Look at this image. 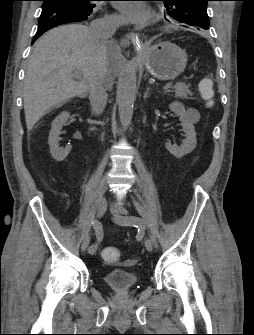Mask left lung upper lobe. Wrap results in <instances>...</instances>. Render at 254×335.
Masks as SVG:
<instances>
[{"label": "left lung upper lobe", "mask_w": 254, "mask_h": 335, "mask_svg": "<svg viewBox=\"0 0 254 335\" xmlns=\"http://www.w3.org/2000/svg\"><path fill=\"white\" fill-rule=\"evenodd\" d=\"M167 13L184 27L200 29L209 28L207 2L209 0H161Z\"/></svg>", "instance_id": "obj_1"}]
</instances>
